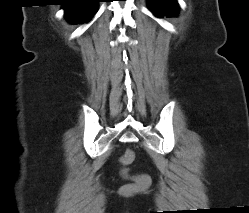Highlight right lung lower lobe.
Returning a JSON list of instances; mask_svg holds the SVG:
<instances>
[{"label": "right lung lower lobe", "mask_w": 249, "mask_h": 213, "mask_svg": "<svg viewBox=\"0 0 249 213\" xmlns=\"http://www.w3.org/2000/svg\"><path fill=\"white\" fill-rule=\"evenodd\" d=\"M100 0H65L62 3L69 22H87L97 11Z\"/></svg>", "instance_id": "1"}]
</instances>
